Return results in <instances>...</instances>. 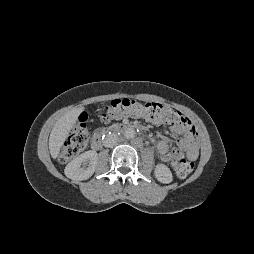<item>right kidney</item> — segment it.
<instances>
[{"label": "right kidney", "mask_w": 254, "mask_h": 254, "mask_svg": "<svg viewBox=\"0 0 254 254\" xmlns=\"http://www.w3.org/2000/svg\"><path fill=\"white\" fill-rule=\"evenodd\" d=\"M97 160L96 151H86L69 162L65 167L64 173L72 180H86L93 175Z\"/></svg>", "instance_id": "ca27d5eb"}]
</instances>
